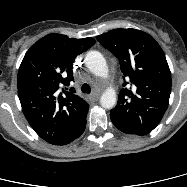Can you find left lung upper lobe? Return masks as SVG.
Listing matches in <instances>:
<instances>
[{
  "instance_id": "obj_1",
  "label": "left lung upper lobe",
  "mask_w": 187,
  "mask_h": 187,
  "mask_svg": "<svg viewBox=\"0 0 187 187\" xmlns=\"http://www.w3.org/2000/svg\"><path fill=\"white\" fill-rule=\"evenodd\" d=\"M97 40L119 60L121 71L134 85L123 83L110 117L128 131L143 136L161 121L169 103L171 73L157 41L137 29H114Z\"/></svg>"
}]
</instances>
